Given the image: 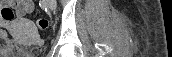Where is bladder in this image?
<instances>
[{
	"mask_svg": "<svg viewBox=\"0 0 172 57\" xmlns=\"http://www.w3.org/2000/svg\"><path fill=\"white\" fill-rule=\"evenodd\" d=\"M0 57H25V56L21 55L20 53L17 54L2 53L0 54Z\"/></svg>",
	"mask_w": 172,
	"mask_h": 57,
	"instance_id": "bladder-1",
	"label": "bladder"
}]
</instances>
